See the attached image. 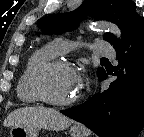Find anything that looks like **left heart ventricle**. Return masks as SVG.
<instances>
[{"instance_id": "b2bd125f", "label": "left heart ventricle", "mask_w": 144, "mask_h": 137, "mask_svg": "<svg viewBox=\"0 0 144 137\" xmlns=\"http://www.w3.org/2000/svg\"><path fill=\"white\" fill-rule=\"evenodd\" d=\"M44 86L52 98L68 100L77 95L75 89V71L58 68L47 74Z\"/></svg>"}]
</instances>
